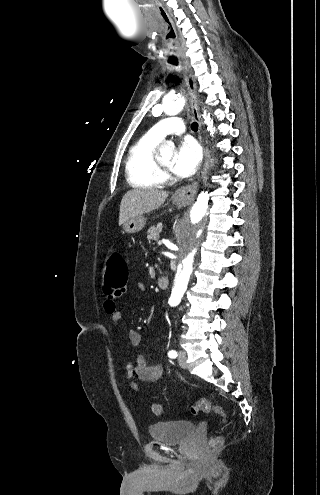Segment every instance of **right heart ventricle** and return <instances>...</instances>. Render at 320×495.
I'll return each mask as SVG.
<instances>
[{"label": "right heart ventricle", "mask_w": 320, "mask_h": 495, "mask_svg": "<svg viewBox=\"0 0 320 495\" xmlns=\"http://www.w3.org/2000/svg\"><path fill=\"white\" fill-rule=\"evenodd\" d=\"M160 139L149 132L137 139L130 147L125 163L128 183L137 188L152 189L162 182L161 173L156 164V147Z\"/></svg>", "instance_id": "e07e8e85"}]
</instances>
